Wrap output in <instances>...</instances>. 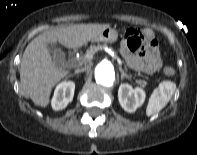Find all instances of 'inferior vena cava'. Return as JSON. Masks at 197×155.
I'll list each match as a JSON object with an SVG mask.
<instances>
[{"instance_id": "obj_1", "label": "inferior vena cava", "mask_w": 197, "mask_h": 155, "mask_svg": "<svg viewBox=\"0 0 197 155\" xmlns=\"http://www.w3.org/2000/svg\"><path fill=\"white\" fill-rule=\"evenodd\" d=\"M87 69V67H83V68H78V69H76V73H79V72H83V71H85Z\"/></svg>"}]
</instances>
